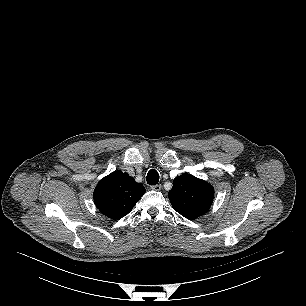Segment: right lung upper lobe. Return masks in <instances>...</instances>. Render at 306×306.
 <instances>
[{
  "label": "right lung upper lobe",
  "instance_id": "obj_1",
  "mask_svg": "<svg viewBox=\"0 0 306 306\" xmlns=\"http://www.w3.org/2000/svg\"><path fill=\"white\" fill-rule=\"evenodd\" d=\"M145 192L141 183H136L126 173L115 171L98 183L94 202L101 213L116 220L127 215Z\"/></svg>",
  "mask_w": 306,
  "mask_h": 306
}]
</instances>
